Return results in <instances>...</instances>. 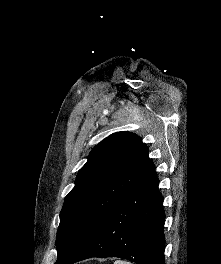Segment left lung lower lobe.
<instances>
[{"mask_svg":"<svg viewBox=\"0 0 221 264\" xmlns=\"http://www.w3.org/2000/svg\"><path fill=\"white\" fill-rule=\"evenodd\" d=\"M155 169L55 264L91 257H119L137 264H165L163 198Z\"/></svg>","mask_w":221,"mask_h":264,"instance_id":"obj_1","label":"left lung lower lobe"}]
</instances>
